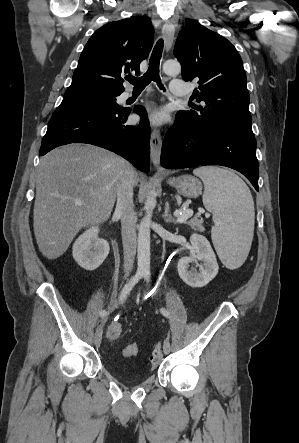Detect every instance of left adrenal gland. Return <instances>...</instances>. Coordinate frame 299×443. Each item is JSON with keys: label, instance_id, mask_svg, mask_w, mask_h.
Instances as JSON below:
<instances>
[{"label": "left adrenal gland", "instance_id": "a2214340", "mask_svg": "<svg viewBox=\"0 0 299 443\" xmlns=\"http://www.w3.org/2000/svg\"><path fill=\"white\" fill-rule=\"evenodd\" d=\"M163 218L166 223L176 224L175 218L171 214H169V203L168 202H166V204H165V212L163 214Z\"/></svg>", "mask_w": 299, "mask_h": 443}]
</instances>
